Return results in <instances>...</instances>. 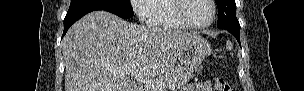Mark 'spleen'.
<instances>
[{
    "label": "spleen",
    "instance_id": "obj_1",
    "mask_svg": "<svg viewBox=\"0 0 304 91\" xmlns=\"http://www.w3.org/2000/svg\"><path fill=\"white\" fill-rule=\"evenodd\" d=\"M227 48H228L229 50H231V49H232V44L229 43V44L227 45ZM232 56H233V54H232Z\"/></svg>",
    "mask_w": 304,
    "mask_h": 91
}]
</instances>
